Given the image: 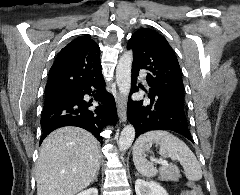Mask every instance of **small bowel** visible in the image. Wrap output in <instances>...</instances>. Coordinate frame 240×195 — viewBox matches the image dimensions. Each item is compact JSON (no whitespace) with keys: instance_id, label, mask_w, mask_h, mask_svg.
<instances>
[{"instance_id":"obj_1","label":"small bowel","mask_w":240,"mask_h":195,"mask_svg":"<svg viewBox=\"0 0 240 195\" xmlns=\"http://www.w3.org/2000/svg\"><path fill=\"white\" fill-rule=\"evenodd\" d=\"M196 188H199L198 186H196ZM180 195H186V192H185V190H182L181 192H180ZM199 195H203V193L201 192V193H199Z\"/></svg>"}]
</instances>
